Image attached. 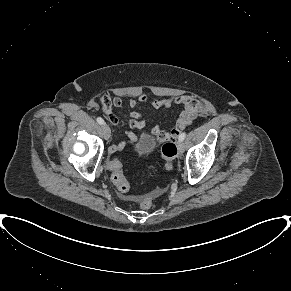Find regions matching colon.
Masks as SVG:
<instances>
[{
	"label": "colon",
	"mask_w": 291,
	"mask_h": 291,
	"mask_svg": "<svg viewBox=\"0 0 291 291\" xmlns=\"http://www.w3.org/2000/svg\"><path fill=\"white\" fill-rule=\"evenodd\" d=\"M161 155L165 161V167L169 170L173 167V163L177 156V147L173 141H167L161 147ZM110 178L114 186L121 193H126L129 188V182L125 178L122 170V163L118 158H112L108 162ZM153 205V197L146 194L140 198L139 206L143 210H148Z\"/></svg>",
	"instance_id": "5ec220e1"
}]
</instances>
